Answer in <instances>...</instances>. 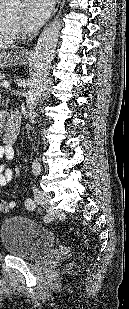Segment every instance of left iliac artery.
Segmentation results:
<instances>
[{"instance_id":"1","label":"left iliac artery","mask_w":129,"mask_h":309,"mask_svg":"<svg viewBox=\"0 0 129 309\" xmlns=\"http://www.w3.org/2000/svg\"><path fill=\"white\" fill-rule=\"evenodd\" d=\"M32 168H33L34 174H36V175L39 174L40 171H41V165L38 162H34L32 164ZM33 188H34L33 189L34 191L37 190L36 187H33ZM25 205H26L27 209H29V210H34L35 207H36L35 202L32 199H27V201L25 202ZM44 221H50V217L48 215H45Z\"/></svg>"}]
</instances>
